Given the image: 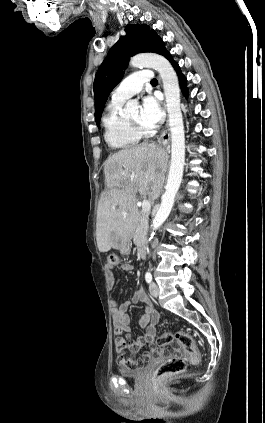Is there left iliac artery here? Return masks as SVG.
Returning a JSON list of instances; mask_svg holds the SVG:
<instances>
[{"label": "left iliac artery", "mask_w": 265, "mask_h": 423, "mask_svg": "<svg viewBox=\"0 0 265 423\" xmlns=\"http://www.w3.org/2000/svg\"><path fill=\"white\" fill-rule=\"evenodd\" d=\"M145 280H146L147 283H150L152 281V275H151L150 272H147L145 274Z\"/></svg>", "instance_id": "1"}]
</instances>
